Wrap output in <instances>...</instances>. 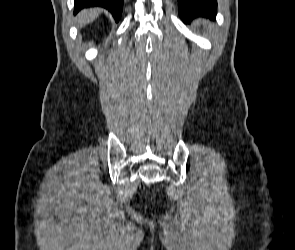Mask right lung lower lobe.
I'll list each match as a JSON object with an SVG mask.
<instances>
[{
    "label": "right lung lower lobe",
    "instance_id": "right-lung-lower-lobe-1",
    "mask_svg": "<svg viewBox=\"0 0 295 250\" xmlns=\"http://www.w3.org/2000/svg\"><path fill=\"white\" fill-rule=\"evenodd\" d=\"M74 14L83 8L101 6L109 10L116 21L120 19L123 7V0H74Z\"/></svg>",
    "mask_w": 295,
    "mask_h": 250
}]
</instances>
